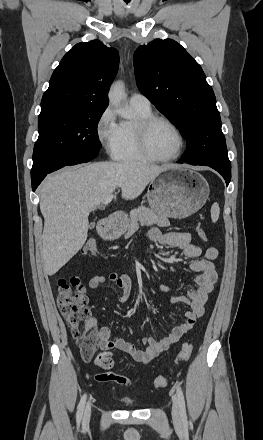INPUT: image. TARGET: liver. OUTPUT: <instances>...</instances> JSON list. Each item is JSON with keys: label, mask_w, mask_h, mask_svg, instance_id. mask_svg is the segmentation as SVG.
I'll return each mask as SVG.
<instances>
[{"label": "liver", "mask_w": 263, "mask_h": 440, "mask_svg": "<svg viewBox=\"0 0 263 440\" xmlns=\"http://www.w3.org/2000/svg\"><path fill=\"white\" fill-rule=\"evenodd\" d=\"M175 167L141 162H97L66 168L48 176L39 187L44 217L41 254L44 271L54 275L84 245L89 213L117 187L133 200L160 173Z\"/></svg>", "instance_id": "1"}]
</instances>
